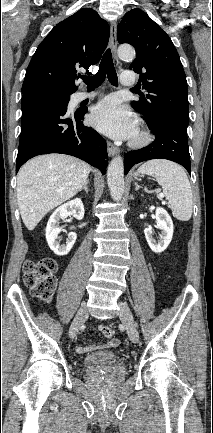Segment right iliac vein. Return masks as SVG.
Here are the masks:
<instances>
[{
  "mask_svg": "<svg viewBox=\"0 0 213 433\" xmlns=\"http://www.w3.org/2000/svg\"><path fill=\"white\" fill-rule=\"evenodd\" d=\"M88 317V309L86 307V305H83L79 308L71 326H70V330H69V336L71 338H74L78 331L80 326L84 323V321L87 319Z\"/></svg>",
  "mask_w": 213,
  "mask_h": 433,
  "instance_id": "right-iliac-vein-1",
  "label": "right iliac vein"
}]
</instances>
